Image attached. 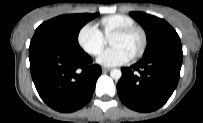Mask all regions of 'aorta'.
I'll use <instances>...</instances> for the list:
<instances>
[{"instance_id":"1","label":"aorta","mask_w":203,"mask_h":123,"mask_svg":"<svg viewBox=\"0 0 203 123\" xmlns=\"http://www.w3.org/2000/svg\"><path fill=\"white\" fill-rule=\"evenodd\" d=\"M121 70L120 69H113L110 72V76L115 79V80H119L121 78Z\"/></svg>"}]
</instances>
